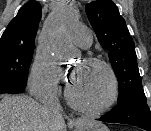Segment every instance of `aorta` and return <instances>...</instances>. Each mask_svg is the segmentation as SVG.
I'll use <instances>...</instances> for the list:
<instances>
[{
    "instance_id": "obj_1",
    "label": "aorta",
    "mask_w": 151,
    "mask_h": 131,
    "mask_svg": "<svg viewBox=\"0 0 151 131\" xmlns=\"http://www.w3.org/2000/svg\"><path fill=\"white\" fill-rule=\"evenodd\" d=\"M76 21V14L69 7L58 8L50 18L46 31L51 43L56 47L58 55L62 58L75 56V51L71 48L65 37V33Z\"/></svg>"
}]
</instances>
